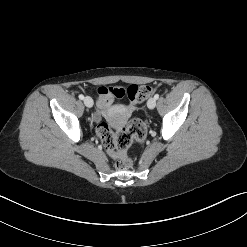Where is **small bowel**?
<instances>
[{"mask_svg": "<svg viewBox=\"0 0 247 247\" xmlns=\"http://www.w3.org/2000/svg\"><path fill=\"white\" fill-rule=\"evenodd\" d=\"M112 103V93L109 91V89L105 87H100L98 89V96H97V106L99 110H104L108 108ZM97 119L100 118V115L97 114Z\"/></svg>", "mask_w": 247, "mask_h": 247, "instance_id": "small-bowel-1", "label": "small bowel"}]
</instances>
